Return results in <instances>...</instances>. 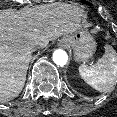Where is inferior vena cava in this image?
<instances>
[{
  "label": "inferior vena cava",
  "instance_id": "1",
  "mask_svg": "<svg viewBox=\"0 0 117 117\" xmlns=\"http://www.w3.org/2000/svg\"><path fill=\"white\" fill-rule=\"evenodd\" d=\"M29 52H30V54H32V55H36V54H38L39 49H38V47H36V46H32V47H30Z\"/></svg>",
  "mask_w": 117,
  "mask_h": 117
}]
</instances>
